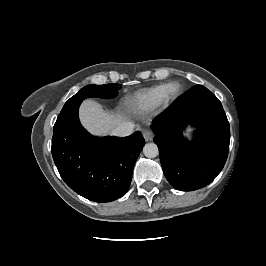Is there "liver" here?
Returning <instances> with one entry per match:
<instances>
[{
  "instance_id": "6515ba94",
  "label": "liver",
  "mask_w": 266,
  "mask_h": 266,
  "mask_svg": "<svg viewBox=\"0 0 266 266\" xmlns=\"http://www.w3.org/2000/svg\"><path fill=\"white\" fill-rule=\"evenodd\" d=\"M80 120L83 126L94 135H104L121 124V115H108L100 104L93 100L83 101L80 107Z\"/></svg>"
}]
</instances>
